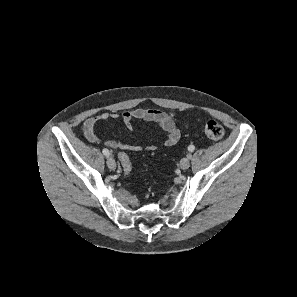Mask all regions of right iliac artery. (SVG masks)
I'll list each match as a JSON object with an SVG mask.
<instances>
[{"instance_id": "82829eb1", "label": "right iliac artery", "mask_w": 297, "mask_h": 297, "mask_svg": "<svg viewBox=\"0 0 297 297\" xmlns=\"http://www.w3.org/2000/svg\"><path fill=\"white\" fill-rule=\"evenodd\" d=\"M103 154L105 155V156H107V157H109V155H110V152H109V150L108 149H103Z\"/></svg>"}]
</instances>
